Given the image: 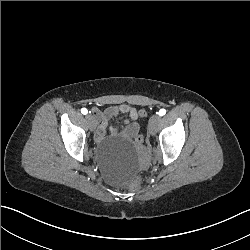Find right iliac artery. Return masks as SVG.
<instances>
[{
    "mask_svg": "<svg viewBox=\"0 0 250 250\" xmlns=\"http://www.w3.org/2000/svg\"><path fill=\"white\" fill-rule=\"evenodd\" d=\"M81 113L84 114V115H86L88 113V110L86 108H82L81 109Z\"/></svg>",
    "mask_w": 250,
    "mask_h": 250,
    "instance_id": "obj_1",
    "label": "right iliac artery"
}]
</instances>
